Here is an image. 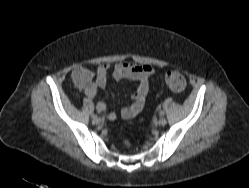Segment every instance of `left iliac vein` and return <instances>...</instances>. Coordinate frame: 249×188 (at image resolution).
<instances>
[{
    "label": "left iliac vein",
    "instance_id": "4c4485c4",
    "mask_svg": "<svg viewBox=\"0 0 249 188\" xmlns=\"http://www.w3.org/2000/svg\"><path fill=\"white\" fill-rule=\"evenodd\" d=\"M166 123H167V120L165 118H163V117L160 118L159 121H158V124L160 126H164V125H166Z\"/></svg>",
    "mask_w": 249,
    "mask_h": 188
}]
</instances>
